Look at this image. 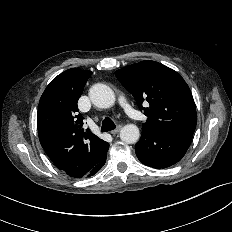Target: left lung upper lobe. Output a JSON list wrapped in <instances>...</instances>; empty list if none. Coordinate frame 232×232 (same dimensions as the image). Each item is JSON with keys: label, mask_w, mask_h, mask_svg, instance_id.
<instances>
[{"label": "left lung upper lobe", "mask_w": 232, "mask_h": 232, "mask_svg": "<svg viewBox=\"0 0 232 232\" xmlns=\"http://www.w3.org/2000/svg\"><path fill=\"white\" fill-rule=\"evenodd\" d=\"M115 74L148 116L142 129L194 133L196 107L190 88L179 73L155 61H141ZM146 102L148 108L143 107Z\"/></svg>", "instance_id": "left-lung-upper-lobe-1"}]
</instances>
